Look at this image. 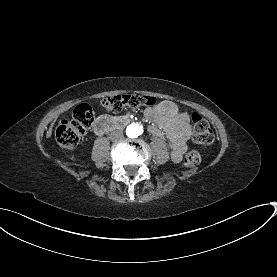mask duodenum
I'll return each instance as SVG.
<instances>
[{
    "label": "duodenum",
    "mask_w": 277,
    "mask_h": 277,
    "mask_svg": "<svg viewBox=\"0 0 277 277\" xmlns=\"http://www.w3.org/2000/svg\"><path fill=\"white\" fill-rule=\"evenodd\" d=\"M129 122L130 118L128 116H102L96 120L93 129L96 134L101 135L107 131L124 127Z\"/></svg>",
    "instance_id": "duodenum-1"
}]
</instances>
